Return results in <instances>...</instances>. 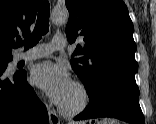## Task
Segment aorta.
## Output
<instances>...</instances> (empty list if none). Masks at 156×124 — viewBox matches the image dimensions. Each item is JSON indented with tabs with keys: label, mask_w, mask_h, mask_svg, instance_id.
I'll use <instances>...</instances> for the list:
<instances>
[{
	"label": "aorta",
	"mask_w": 156,
	"mask_h": 124,
	"mask_svg": "<svg viewBox=\"0 0 156 124\" xmlns=\"http://www.w3.org/2000/svg\"><path fill=\"white\" fill-rule=\"evenodd\" d=\"M69 19V13L66 8H54L51 12V20L55 24H64Z\"/></svg>",
	"instance_id": "1"
}]
</instances>
